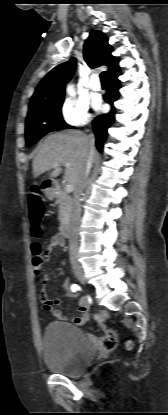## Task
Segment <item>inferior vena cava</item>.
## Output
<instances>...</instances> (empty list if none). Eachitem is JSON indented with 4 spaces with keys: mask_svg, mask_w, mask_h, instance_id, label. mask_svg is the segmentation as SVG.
<instances>
[{
    "mask_svg": "<svg viewBox=\"0 0 168 415\" xmlns=\"http://www.w3.org/2000/svg\"><path fill=\"white\" fill-rule=\"evenodd\" d=\"M89 138V157L86 161L82 174L73 191V199L71 203L70 224H69V254L70 262L73 268H79L78 262V231L81 218V195L92 167V155L94 152L95 138L93 134Z\"/></svg>",
    "mask_w": 168,
    "mask_h": 415,
    "instance_id": "602c4592",
    "label": "inferior vena cava"
}]
</instances>
